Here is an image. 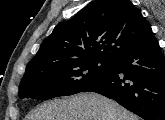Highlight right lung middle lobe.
Wrapping results in <instances>:
<instances>
[{
  "label": "right lung middle lobe",
  "instance_id": "dd1d6c3e",
  "mask_svg": "<svg viewBox=\"0 0 165 120\" xmlns=\"http://www.w3.org/2000/svg\"><path fill=\"white\" fill-rule=\"evenodd\" d=\"M113 61L77 58L47 61L26 67L19 97L48 100L81 92L94 81L107 76Z\"/></svg>",
  "mask_w": 165,
  "mask_h": 120
}]
</instances>
